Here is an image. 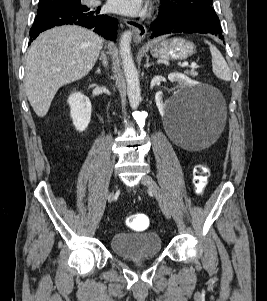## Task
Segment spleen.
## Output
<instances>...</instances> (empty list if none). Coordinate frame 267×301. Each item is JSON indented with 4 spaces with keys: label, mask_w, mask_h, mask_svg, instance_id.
<instances>
[{
    "label": "spleen",
    "mask_w": 267,
    "mask_h": 301,
    "mask_svg": "<svg viewBox=\"0 0 267 301\" xmlns=\"http://www.w3.org/2000/svg\"><path fill=\"white\" fill-rule=\"evenodd\" d=\"M205 43L209 45V49L212 56V69L216 77L219 79L230 81L231 80V71L220 53V51L212 45L209 41L205 40Z\"/></svg>",
    "instance_id": "1"
}]
</instances>
